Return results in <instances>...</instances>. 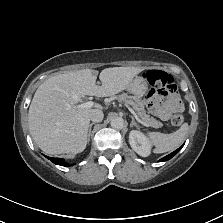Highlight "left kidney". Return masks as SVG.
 <instances>
[{
	"label": "left kidney",
	"mask_w": 223,
	"mask_h": 223,
	"mask_svg": "<svg viewBox=\"0 0 223 223\" xmlns=\"http://www.w3.org/2000/svg\"><path fill=\"white\" fill-rule=\"evenodd\" d=\"M131 148L140 156L147 157L151 153V145L147 137L137 130H132L129 134Z\"/></svg>",
	"instance_id": "left-kidney-1"
}]
</instances>
